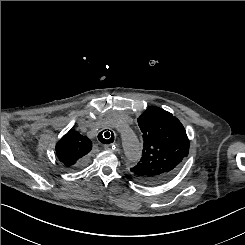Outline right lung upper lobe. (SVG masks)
<instances>
[{
    "label": "right lung upper lobe",
    "mask_w": 245,
    "mask_h": 245,
    "mask_svg": "<svg viewBox=\"0 0 245 245\" xmlns=\"http://www.w3.org/2000/svg\"><path fill=\"white\" fill-rule=\"evenodd\" d=\"M92 149V142L78 131L70 130L56 144L58 159L66 167H77Z\"/></svg>",
    "instance_id": "1"
}]
</instances>
